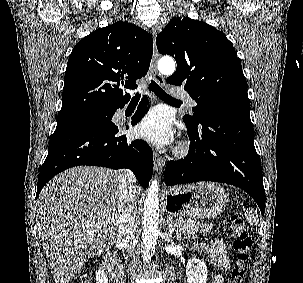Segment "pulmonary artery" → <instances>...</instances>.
Here are the masks:
<instances>
[{"label":"pulmonary artery","mask_w":303,"mask_h":283,"mask_svg":"<svg viewBox=\"0 0 303 283\" xmlns=\"http://www.w3.org/2000/svg\"><path fill=\"white\" fill-rule=\"evenodd\" d=\"M170 93L172 97L185 100L190 108L197 106L196 101L182 88H172Z\"/></svg>","instance_id":"pulmonary-artery-1"}]
</instances>
